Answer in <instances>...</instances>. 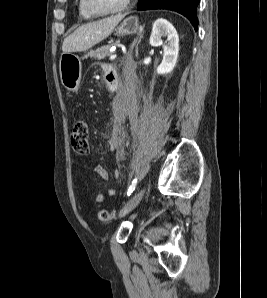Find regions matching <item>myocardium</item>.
<instances>
[{
  "label": "myocardium",
  "mask_w": 267,
  "mask_h": 298,
  "mask_svg": "<svg viewBox=\"0 0 267 298\" xmlns=\"http://www.w3.org/2000/svg\"><path fill=\"white\" fill-rule=\"evenodd\" d=\"M132 0H125L123 4L116 10L114 11H109V12H102V11H97L94 9L91 5L89 0H82L83 8L87 13L94 17H106V16H113V15H118L123 12H125L128 7L130 6Z\"/></svg>",
  "instance_id": "obj_1"
}]
</instances>
